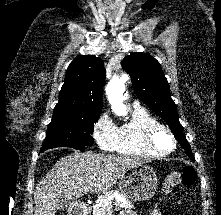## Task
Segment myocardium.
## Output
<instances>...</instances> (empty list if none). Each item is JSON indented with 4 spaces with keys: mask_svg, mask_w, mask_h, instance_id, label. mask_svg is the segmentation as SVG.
<instances>
[{
    "mask_svg": "<svg viewBox=\"0 0 221 215\" xmlns=\"http://www.w3.org/2000/svg\"><path fill=\"white\" fill-rule=\"evenodd\" d=\"M165 133L170 139V147L169 148H161L158 146L156 142V138L158 134ZM143 142L145 147L158 156L168 155L172 153L176 148V138L172 131L163 124H157L149 127L143 137Z\"/></svg>",
    "mask_w": 221,
    "mask_h": 215,
    "instance_id": "1",
    "label": "myocardium"
}]
</instances>
